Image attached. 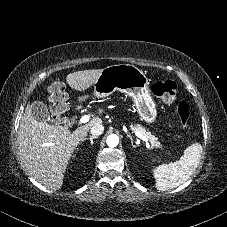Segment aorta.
<instances>
[{
  "label": "aorta",
  "instance_id": "762f6f07",
  "mask_svg": "<svg viewBox=\"0 0 227 227\" xmlns=\"http://www.w3.org/2000/svg\"><path fill=\"white\" fill-rule=\"evenodd\" d=\"M106 143L109 147H116L119 143V138L115 134H111L107 137Z\"/></svg>",
  "mask_w": 227,
  "mask_h": 227
}]
</instances>
